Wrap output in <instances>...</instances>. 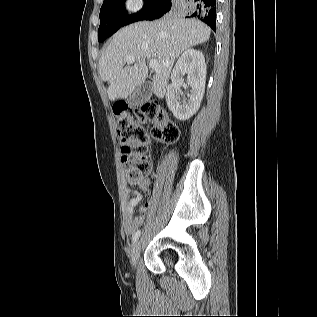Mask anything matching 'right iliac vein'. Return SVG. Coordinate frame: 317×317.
Instances as JSON below:
<instances>
[{"label": "right iliac vein", "mask_w": 317, "mask_h": 317, "mask_svg": "<svg viewBox=\"0 0 317 317\" xmlns=\"http://www.w3.org/2000/svg\"><path fill=\"white\" fill-rule=\"evenodd\" d=\"M140 252H141V242L136 241L134 243L132 251H131V264H132V267H134V268L137 265V261H138V258L140 256Z\"/></svg>", "instance_id": "right-iliac-vein-1"}]
</instances>
